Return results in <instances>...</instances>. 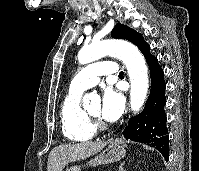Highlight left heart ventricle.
<instances>
[{
    "mask_svg": "<svg viewBox=\"0 0 199 171\" xmlns=\"http://www.w3.org/2000/svg\"><path fill=\"white\" fill-rule=\"evenodd\" d=\"M89 112L96 115V116H99L100 105L99 104L95 105L92 109L89 110Z\"/></svg>",
    "mask_w": 199,
    "mask_h": 171,
    "instance_id": "1",
    "label": "left heart ventricle"
}]
</instances>
